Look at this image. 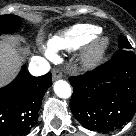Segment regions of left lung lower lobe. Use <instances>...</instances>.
I'll use <instances>...</instances> for the list:
<instances>
[{"label": "left lung lower lobe", "instance_id": "left-lung-lower-lobe-1", "mask_svg": "<svg viewBox=\"0 0 136 136\" xmlns=\"http://www.w3.org/2000/svg\"><path fill=\"white\" fill-rule=\"evenodd\" d=\"M69 81L71 111L87 129L112 131L136 111V56L131 50L120 49L107 63Z\"/></svg>", "mask_w": 136, "mask_h": 136}]
</instances>
